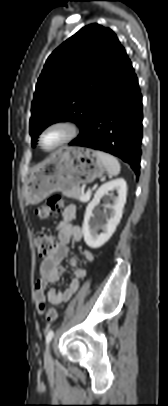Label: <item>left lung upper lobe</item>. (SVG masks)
I'll return each mask as SVG.
<instances>
[{
  "mask_svg": "<svg viewBox=\"0 0 168 406\" xmlns=\"http://www.w3.org/2000/svg\"><path fill=\"white\" fill-rule=\"evenodd\" d=\"M125 52L110 28L90 24L48 57L31 107L32 147L49 125L72 120L84 128L118 61Z\"/></svg>",
  "mask_w": 168,
  "mask_h": 406,
  "instance_id": "obj_1",
  "label": "left lung upper lobe"
}]
</instances>
